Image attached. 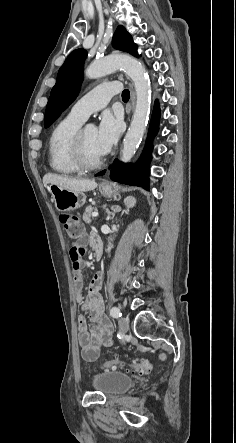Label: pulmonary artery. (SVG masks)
Masks as SVG:
<instances>
[{
    "label": "pulmonary artery",
    "mask_w": 236,
    "mask_h": 443,
    "mask_svg": "<svg viewBox=\"0 0 236 443\" xmlns=\"http://www.w3.org/2000/svg\"><path fill=\"white\" fill-rule=\"evenodd\" d=\"M121 89L122 85L118 81L103 83L80 97L71 107L69 114L84 121L91 113L105 107L111 97Z\"/></svg>",
    "instance_id": "pulmonary-artery-1"
}]
</instances>
